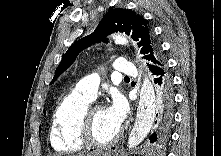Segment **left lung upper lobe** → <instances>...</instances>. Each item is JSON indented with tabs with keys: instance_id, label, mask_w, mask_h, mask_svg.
<instances>
[{
	"instance_id": "obj_1",
	"label": "left lung upper lobe",
	"mask_w": 221,
	"mask_h": 156,
	"mask_svg": "<svg viewBox=\"0 0 221 156\" xmlns=\"http://www.w3.org/2000/svg\"><path fill=\"white\" fill-rule=\"evenodd\" d=\"M117 31L125 32L137 41L138 47H141L140 53L145 54L143 58L149 61L147 64L149 68L165 62L160 46L146 20L136 12L127 9H113L103 17L94 33L75 42L68 49L66 54L63 55L50 84L54 83L59 75L72 64L80 51L93 43L107 42L105 37Z\"/></svg>"
}]
</instances>
